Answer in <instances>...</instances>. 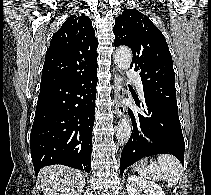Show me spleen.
<instances>
[{"mask_svg":"<svg viewBox=\"0 0 211 195\" xmlns=\"http://www.w3.org/2000/svg\"><path fill=\"white\" fill-rule=\"evenodd\" d=\"M134 170L145 178L160 181L165 180L169 186H175L182 176V165L180 161L171 155L158 156L157 162L147 167L135 166Z\"/></svg>","mask_w":211,"mask_h":195,"instance_id":"spleen-1","label":"spleen"}]
</instances>
